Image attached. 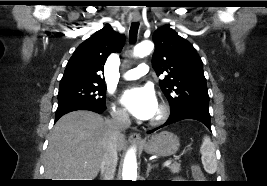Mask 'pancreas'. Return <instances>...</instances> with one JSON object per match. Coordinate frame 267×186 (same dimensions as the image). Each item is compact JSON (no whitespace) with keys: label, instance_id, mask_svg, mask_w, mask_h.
Wrapping results in <instances>:
<instances>
[{"label":"pancreas","instance_id":"cf45deb5","mask_svg":"<svg viewBox=\"0 0 267 186\" xmlns=\"http://www.w3.org/2000/svg\"><path fill=\"white\" fill-rule=\"evenodd\" d=\"M168 168L172 173H179L180 172V163L174 162L173 164L169 165Z\"/></svg>","mask_w":267,"mask_h":186}]
</instances>
